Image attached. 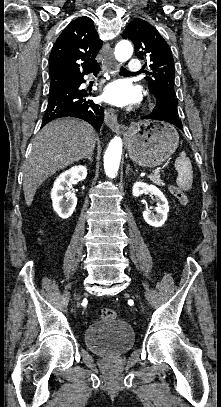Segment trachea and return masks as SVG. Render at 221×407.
<instances>
[{"mask_svg": "<svg viewBox=\"0 0 221 407\" xmlns=\"http://www.w3.org/2000/svg\"><path fill=\"white\" fill-rule=\"evenodd\" d=\"M126 72H129L126 68H124V67L120 68V73H126Z\"/></svg>", "mask_w": 221, "mask_h": 407, "instance_id": "obj_1", "label": "trachea"}]
</instances>
